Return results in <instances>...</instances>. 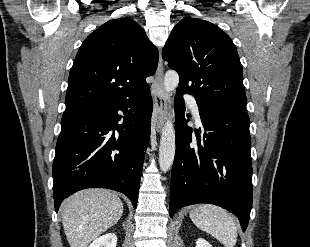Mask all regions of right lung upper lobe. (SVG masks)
Instances as JSON below:
<instances>
[{"mask_svg": "<svg viewBox=\"0 0 310 247\" xmlns=\"http://www.w3.org/2000/svg\"><path fill=\"white\" fill-rule=\"evenodd\" d=\"M158 51L130 18L113 19L82 43L69 74L66 109L132 98L149 89Z\"/></svg>", "mask_w": 310, "mask_h": 247, "instance_id": "cb5924a9", "label": "right lung upper lobe"}]
</instances>
